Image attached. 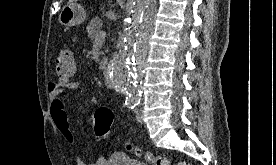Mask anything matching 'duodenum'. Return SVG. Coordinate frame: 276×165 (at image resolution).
I'll use <instances>...</instances> for the list:
<instances>
[{
    "mask_svg": "<svg viewBox=\"0 0 276 165\" xmlns=\"http://www.w3.org/2000/svg\"><path fill=\"white\" fill-rule=\"evenodd\" d=\"M103 75H104V78L107 82L110 81V74H109V69L108 68H105L104 71H103Z\"/></svg>",
    "mask_w": 276,
    "mask_h": 165,
    "instance_id": "obj_1",
    "label": "duodenum"
}]
</instances>
